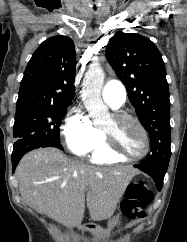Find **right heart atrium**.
<instances>
[{
    "label": "right heart atrium",
    "instance_id": "obj_1",
    "mask_svg": "<svg viewBox=\"0 0 187 242\" xmlns=\"http://www.w3.org/2000/svg\"><path fill=\"white\" fill-rule=\"evenodd\" d=\"M65 144L70 152L85 156L92 152L103 140L102 132L90 118L79 109H72L63 125Z\"/></svg>",
    "mask_w": 187,
    "mask_h": 242
}]
</instances>
